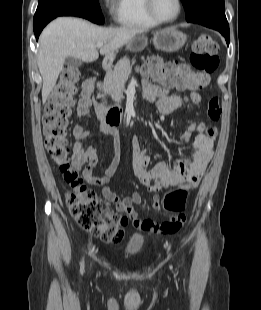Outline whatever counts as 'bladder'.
Returning <instances> with one entry per match:
<instances>
[{"instance_id":"obj_1","label":"bladder","mask_w":261,"mask_h":310,"mask_svg":"<svg viewBox=\"0 0 261 310\" xmlns=\"http://www.w3.org/2000/svg\"><path fill=\"white\" fill-rule=\"evenodd\" d=\"M145 243V238L141 234H134L131 239L129 240L125 252L129 255H134L139 253Z\"/></svg>"}]
</instances>
